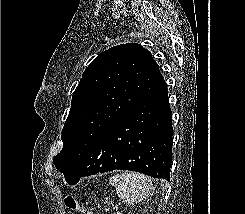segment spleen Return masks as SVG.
Wrapping results in <instances>:
<instances>
[{"label": "spleen", "instance_id": "obj_1", "mask_svg": "<svg viewBox=\"0 0 245 214\" xmlns=\"http://www.w3.org/2000/svg\"><path fill=\"white\" fill-rule=\"evenodd\" d=\"M109 183L116 188L119 198L132 205L143 201L152 189V181L147 176L134 172L116 174Z\"/></svg>", "mask_w": 245, "mask_h": 214}]
</instances>
